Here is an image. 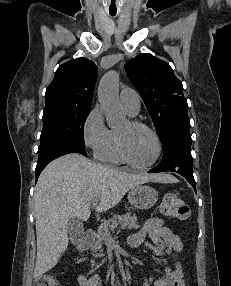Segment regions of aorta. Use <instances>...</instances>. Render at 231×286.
<instances>
[{
	"mask_svg": "<svg viewBox=\"0 0 231 286\" xmlns=\"http://www.w3.org/2000/svg\"><path fill=\"white\" fill-rule=\"evenodd\" d=\"M118 85V73L110 71L102 77L98 87L99 103L111 128L122 124L126 119L119 103Z\"/></svg>",
	"mask_w": 231,
	"mask_h": 286,
	"instance_id": "762f6f07",
	"label": "aorta"
}]
</instances>
